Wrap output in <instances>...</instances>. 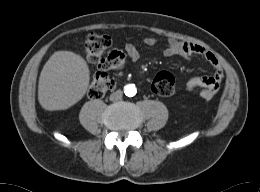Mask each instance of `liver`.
<instances>
[{"instance_id": "liver-1", "label": "liver", "mask_w": 260, "mask_h": 192, "mask_svg": "<svg viewBox=\"0 0 260 192\" xmlns=\"http://www.w3.org/2000/svg\"><path fill=\"white\" fill-rule=\"evenodd\" d=\"M90 81L89 67L79 54L57 51L39 77L38 100L46 110H64L80 101Z\"/></svg>"}]
</instances>
